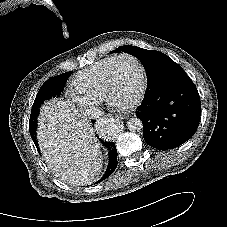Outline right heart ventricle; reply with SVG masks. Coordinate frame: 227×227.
<instances>
[{
    "label": "right heart ventricle",
    "instance_id": "e07e8e85",
    "mask_svg": "<svg viewBox=\"0 0 227 227\" xmlns=\"http://www.w3.org/2000/svg\"><path fill=\"white\" fill-rule=\"evenodd\" d=\"M117 56H108L96 61L78 73L73 81L74 89L81 96L99 102L104 98L107 72Z\"/></svg>",
    "mask_w": 227,
    "mask_h": 227
}]
</instances>
